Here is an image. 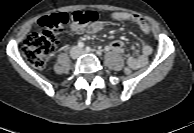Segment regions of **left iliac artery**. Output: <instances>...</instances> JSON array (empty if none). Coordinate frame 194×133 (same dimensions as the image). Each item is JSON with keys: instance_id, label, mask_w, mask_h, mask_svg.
I'll return each mask as SVG.
<instances>
[{"instance_id": "obj_1", "label": "left iliac artery", "mask_w": 194, "mask_h": 133, "mask_svg": "<svg viewBox=\"0 0 194 133\" xmlns=\"http://www.w3.org/2000/svg\"><path fill=\"white\" fill-rule=\"evenodd\" d=\"M86 51L90 52V51H92V49L90 47H86Z\"/></svg>"}]
</instances>
